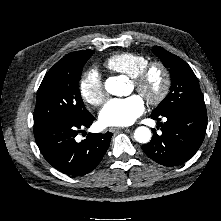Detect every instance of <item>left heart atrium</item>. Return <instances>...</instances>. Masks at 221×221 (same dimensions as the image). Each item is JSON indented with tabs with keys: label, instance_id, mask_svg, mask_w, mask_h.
Masks as SVG:
<instances>
[{
	"label": "left heart atrium",
	"instance_id": "1",
	"mask_svg": "<svg viewBox=\"0 0 221 221\" xmlns=\"http://www.w3.org/2000/svg\"><path fill=\"white\" fill-rule=\"evenodd\" d=\"M145 111V103L140 95L110 99L99 113V120L105 126H128Z\"/></svg>",
	"mask_w": 221,
	"mask_h": 221
}]
</instances>
